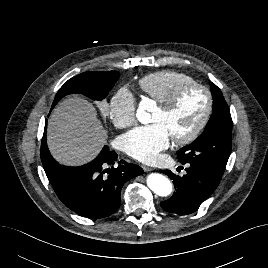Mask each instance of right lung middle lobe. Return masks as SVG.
Segmentation results:
<instances>
[{"instance_id":"1","label":"right lung middle lobe","mask_w":268,"mask_h":268,"mask_svg":"<svg viewBox=\"0 0 268 268\" xmlns=\"http://www.w3.org/2000/svg\"><path fill=\"white\" fill-rule=\"evenodd\" d=\"M120 74L116 71H89L69 79L58 91L52 108L65 95L81 93L93 100L104 99L112 89ZM54 188L58 186L56 179H51L46 173Z\"/></svg>"}]
</instances>
